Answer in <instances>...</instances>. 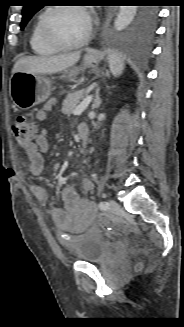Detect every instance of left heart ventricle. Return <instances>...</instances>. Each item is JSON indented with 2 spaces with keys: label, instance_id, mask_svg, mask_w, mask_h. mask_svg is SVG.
<instances>
[{
  "label": "left heart ventricle",
  "instance_id": "obj_1",
  "mask_svg": "<svg viewBox=\"0 0 184 327\" xmlns=\"http://www.w3.org/2000/svg\"><path fill=\"white\" fill-rule=\"evenodd\" d=\"M50 26L54 34L61 40L76 42L86 34L88 20L81 11L63 9L52 14Z\"/></svg>",
  "mask_w": 184,
  "mask_h": 327
}]
</instances>
